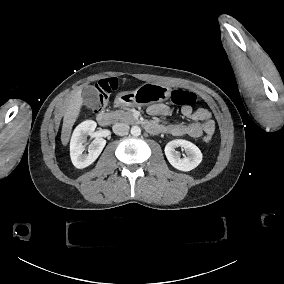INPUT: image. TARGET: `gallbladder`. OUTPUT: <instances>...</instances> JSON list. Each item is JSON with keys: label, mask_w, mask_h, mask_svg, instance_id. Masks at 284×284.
<instances>
[{"label": "gallbladder", "mask_w": 284, "mask_h": 284, "mask_svg": "<svg viewBox=\"0 0 284 284\" xmlns=\"http://www.w3.org/2000/svg\"><path fill=\"white\" fill-rule=\"evenodd\" d=\"M84 104L91 109H98L100 106L99 93L94 86H86L82 93Z\"/></svg>", "instance_id": "obj_1"}]
</instances>
